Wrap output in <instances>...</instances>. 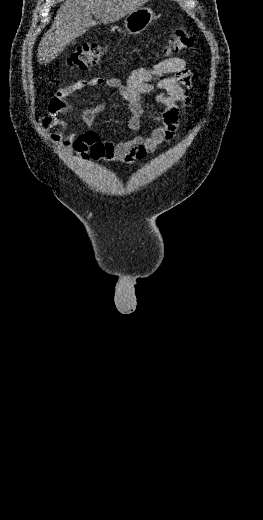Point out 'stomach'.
<instances>
[{
	"label": "stomach",
	"instance_id": "obj_1",
	"mask_svg": "<svg viewBox=\"0 0 263 520\" xmlns=\"http://www.w3.org/2000/svg\"><path fill=\"white\" fill-rule=\"evenodd\" d=\"M154 17L155 15L151 8L140 7L125 17V31L131 35L140 34L149 26Z\"/></svg>",
	"mask_w": 263,
	"mask_h": 520
}]
</instances>
